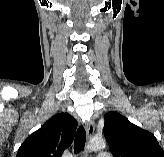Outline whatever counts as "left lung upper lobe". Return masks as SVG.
I'll return each instance as SVG.
<instances>
[{
  "label": "left lung upper lobe",
  "mask_w": 164,
  "mask_h": 157,
  "mask_svg": "<svg viewBox=\"0 0 164 157\" xmlns=\"http://www.w3.org/2000/svg\"><path fill=\"white\" fill-rule=\"evenodd\" d=\"M104 135L114 157H164L155 136L117 112L104 116Z\"/></svg>",
  "instance_id": "obj_1"
}]
</instances>
